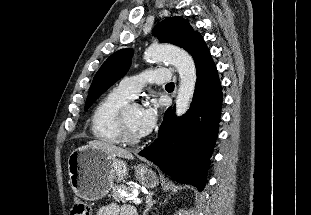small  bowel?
I'll use <instances>...</instances> for the list:
<instances>
[{
	"label": "small bowel",
	"mask_w": 311,
	"mask_h": 215,
	"mask_svg": "<svg viewBox=\"0 0 311 215\" xmlns=\"http://www.w3.org/2000/svg\"><path fill=\"white\" fill-rule=\"evenodd\" d=\"M135 210L130 206H119L116 203H111L101 207L97 215H133Z\"/></svg>",
	"instance_id": "small-bowel-1"
}]
</instances>
